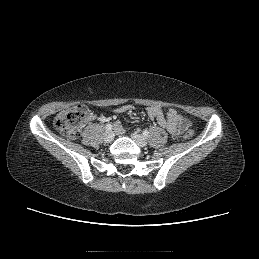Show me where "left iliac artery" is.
<instances>
[{"label":"left iliac artery","mask_w":259,"mask_h":259,"mask_svg":"<svg viewBox=\"0 0 259 259\" xmlns=\"http://www.w3.org/2000/svg\"><path fill=\"white\" fill-rule=\"evenodd\" d=\"M143 135L144 136H148L149 135V131L148 130L143 131Z\"/></svg>","instance_id":"1"}]
</instances>
